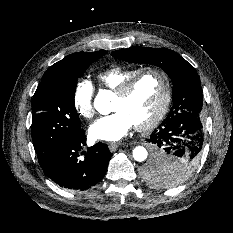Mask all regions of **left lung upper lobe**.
Instances as JSON below:
<instances>
[{
  "label": "left lung upper lobe",
  "instance_id": "left-lung-upper-lobe-1",
  "mask_svg": "<svg viewBox=\"0 0 233 233\" xmlns=\"http://www.w3.org/2000/svg\"><path fill=\"white\" fill-rule=\"evenodd\" d=\"M111 55L126 62L155 65L167 73L173 83V106L164 121L182 115L200 119L203 105L200 78L195 68L179 54L167 48H130ZM199 161L200 158L192 156L172 158L160 166H146L143 175L148 181L174 186L186 181Z\"/></svg>",
  "mask_w": 233,
  "mask_h": 233
}]
</instances>
